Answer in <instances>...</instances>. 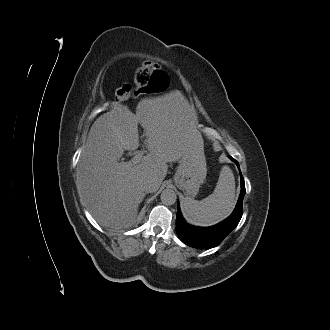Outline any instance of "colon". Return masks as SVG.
I'll list each match as a JSON object with an SVG mask.
<instances>
[{"label": "colon", "instance_id": "5ec220e1", "mask_svg": "<svg viewBox=\"0 0 330 330\" xmlns=\"http://www.w3.org/2000/svg\"><path fill=\"white\" fill-rule=\"evenodd\" d=\"M167 84V76L155 61L144 62L134 73L133 85L123 84L116 90V96L122 100L134 98L140 93H154Z\"/></svg>", "mask_w": 330, "mask_h": 330}]
</instances>
